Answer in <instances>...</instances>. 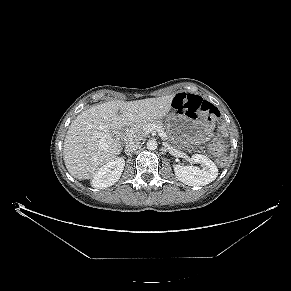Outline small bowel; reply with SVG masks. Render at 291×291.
<instances>
[{
    "label": "small bowel",
    "mask_w": 291,
    "mask_h": 291,
    "mask_svg": "<svg viewBox=\"0 0 291 291\" xmlns=\"http://www.w3.org/2000/svg\"><path fill=\"white\" fill-rule=\"evenodd\" d=\"M183 95H193V96H197V95H194V94H186V93H181Z\"/></svg>",
    "instance_id": "small-bowel-1"
}]
</instances>
